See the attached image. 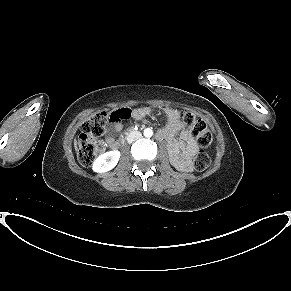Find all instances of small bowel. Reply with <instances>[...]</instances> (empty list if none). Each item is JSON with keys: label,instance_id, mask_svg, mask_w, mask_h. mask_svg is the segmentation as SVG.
<instances>
[{"label": "small bowel", "instance_id": "obj_1", "mask_svg": "<svg viewBox=\"0 0 291 291\" xmlns=\"http://www.w3.org/2000/svg\"><path fill=\"white\" fill-rule=\"evenodd\" d=\"M152 109L149 107L137 108L132 111V116L135 119H142L144 116L151 113ZM166 125L158 132V137L168 142L169 153L172 161L184 171H190L189 160L192 158L197 150V144L192 133L185 127L180 112L165 108ZM123 121H113L111 129L109 130L106 142L111 148H115L117 141L114 137V132H119L123 129ZM179 134L182 142L175 140V135Z\"/></svg>", "mask_w": 291, "mask_h": 291}]
</instances>
